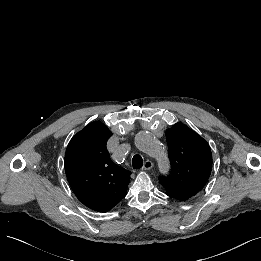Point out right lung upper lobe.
I'll use <instances>...</instances> for the list:
<instances>
[{"label": "right lung upper lobe", "instance_id": "cb5924a9", "mask_svg": "<svg viewBox=\"0 0 261 261\" xmlns=\"http://www.w3.org/2000/svg\"><path fill=\"white\" fill-rule=\"evenodd\" d=\"M112 132L101 122L90 123L69 142L65 172L77 198L88 208L107 212L126 196L131 172L119 167L106 148Z\"/></svg>", "mask_w": 261, "mask_h": 261}]
</instances>
